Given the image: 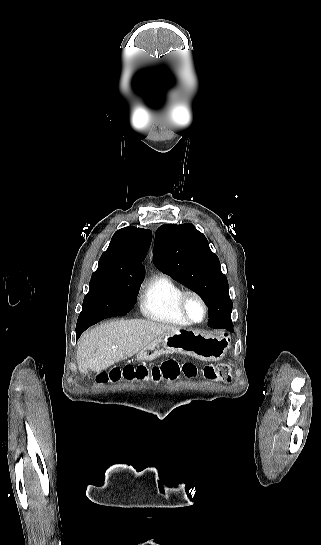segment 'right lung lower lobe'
<instances>
[{"mask_svg":"<svg viewBox=\"0 0 321 545\" xmlns=\"http://www.w3.org/2000/svg\"><path fill=\"white\" fill-rule=\"evenodd\" d=\"M137 295H121L110 301L103 309L102 316L94 321L77 322L76 336L78 337L91 325L114 316L126 315L134 307Z\"/></svg>","mask_w":321,"mask_h":545,"instance_id":"obj_1","label":"right lung lower lobe"}]
</instances>
